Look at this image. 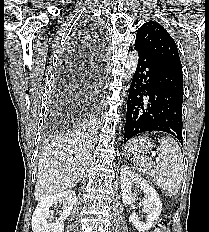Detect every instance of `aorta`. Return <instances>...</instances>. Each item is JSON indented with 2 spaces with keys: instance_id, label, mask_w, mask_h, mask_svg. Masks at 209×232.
Masks as SVG:
<instances>
[{
  "instance_id": "obj_1",
  "label": "aorta",
  "mask_w": 209,
  "mask_h": 232,
  "mask_svg": "<svg viewBox=\"0 0 209 232\" xmlns=\"http://www.w3.org/2000/svg\"><path fill=\"white\" fill-rule=\"evenodd\" d=\"M138 59H139V56H138L137 51H133L129 55V59L125 65V71H126L125 80L126 81H129L132 78L133 74L135 73L137 64H138Z\"/></svg>"
}]
</instances>
